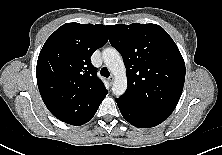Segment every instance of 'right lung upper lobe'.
Wrapping results in <instances>:
<instances>
[{
	"instance_id": "obj_1",
	"label": "right lung upper lobe",
	"mask_w": 222,
	"mask_h": 155,
	"mask_svg": "<svg viewBox=\"0 0 222 155\" xmlns=\"http://www.w3.org/2000/svg\"><path fill=\"white\" fill-rule=\"evenodd\" d=\"M107 41V26L66 23L45 42L37 61V84L46 107L59 120L74 124L105 98L107 90L90 57Z\"/></svg>"
}]
</instances>
